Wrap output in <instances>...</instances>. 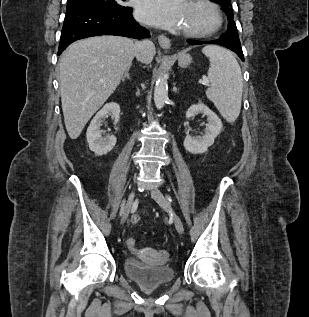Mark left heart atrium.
Returning <instances> with one entry per match:
<instances>
[{"mask_svg":"<svg viewBox=\"0 0 309 317\" xmlns=\"http://www.w3.org/2000/svg\"><path fill=\"white\" fill-rule=\"evenodd\" d=\"M189 4L188 0H139L136 15L144 23L167 30H180Z\"/></svg>","mask_w":309,"mask_h":317,"instance_id":"39dd6f15","label":"left heart atrium"}]
</instances>
